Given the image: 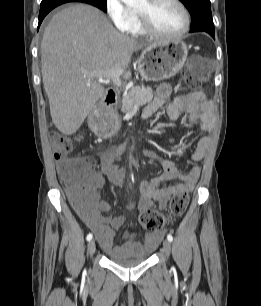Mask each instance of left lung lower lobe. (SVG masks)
I'll use <instances>...</instances> for the list:
<instances>
[{
	"label": "left lung lower lobe",
	"mask_w": 261,
	"mask_h": 306,
	"mask_svg": "<svg viewBox=\"0 0 261 306\" xmlns=\"http://www.w3.org/2000/svg\"><path fill=\"white\" fill-rule=\"evenodd\" d=\"M191 32H198V31H204L210 34L215 39V31L214 30H204V29H197V30H190Z\"/></svg>",
	"instance_id": "obj_1"
}]
</instances>
